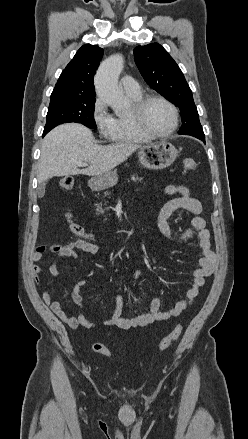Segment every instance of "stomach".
<instances>
[{
	"label": "stomach",
	"instance_id": "obj_1",
	"mask_svg": "<svg viewBox=\"0 0 248 439\" xmlns=\"http://www.w3.org/2000/svg\"><path fill=\"white\" fill-rule=\"evenodd\" d=\"M178 156V150L167 141L141 146L138 152L139 162L146 168L161 170L169 167ZM118 182L116 171H109L92 177L88 184L92 190H104Z\"/></svg>",
	"mask_w": 248,
	"mask_h": 439
}]
</instances>
